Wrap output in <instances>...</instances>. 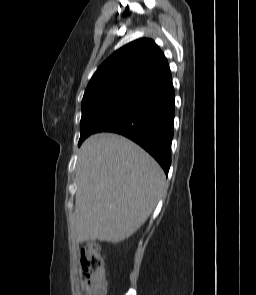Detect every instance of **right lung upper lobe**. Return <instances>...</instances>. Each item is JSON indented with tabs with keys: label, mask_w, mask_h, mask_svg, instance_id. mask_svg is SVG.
<instances>
[{
	"label": "right lung upper lobe",
	"mask_w": 256,
	"mask_h": 295,
	"mask_svg": "<svg viewBox=\"0 0 256 295\" xmlns=\"http://www.w3.org/2000/svg\"><path fill=\"white\" fill-rule=\"evenodd\" d=\"M169 71L166 57L151 39L133 41L106 59L92 76L82 107L125 94H138Z\"/></svg>",
	"instance_id": "cb5924a9"
}]
</instances>
